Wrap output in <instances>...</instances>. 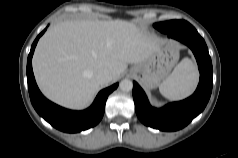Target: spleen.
<instances>
[{"instance_id": "obj_1", "label": "spleen", "mask_w": 238, "mask_h": 158, "mask_svg": "<svg viewBox=\"0 0 238 158\" xmlns=\"http://www.w3.org/2000/svg\"><path fill=\"white\" fill-rule=\"evenodd\" d=\"M198 82L195 64L184 58L159 85L160 93L170 100H181L192 94Z\"/></svg>"}]
</instances>
